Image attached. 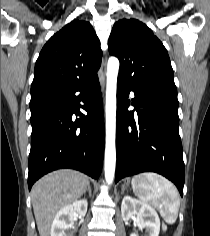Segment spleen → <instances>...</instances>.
Listing matches in <instances>:
<instances>
[{"mask_svg": "<svg viewBox=\"0 0 210 236\" xmlns=\"http://www.w3.org/2000/svg\"><path fill=\"white\" fill-rule=\"evenodd\" d=\"M131 184L140 200L154 206L166 223H175L180 200L171 182L156 173H143L134 176Z\"/></svg>", "mask_w": 210, "mask_h": 236, "instance_id": "1", "label": "spleen"}]
</instances>
